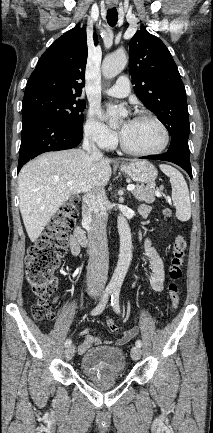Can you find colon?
Instances as JSON below:
<instances>
[{
	"label": "colon",
	"mask_w": 213,
	"mask_h": 433,
	"mask_svg": "<svg viewBox=\"0 0 213 433\" xmlns=\"http://www.w3.org/2000/svg\"><path fill=\"white\" fill-rule=\"evenodd\" d=\"M77 214L78 200L74 198L59 208L41 237L28 249L25 260L26 280L32 292L39 297L32 307L33 315L38 320L53 318L47 300L56 289L55 271L66 254L68 232L73 227ZM164 214L170 216L171 212L166 208ZM186 246L182 235L173 239L168 285V296L173 308H177L180 301L178 281L183 276ZM107 327L113 333L119 331L118 324L112 319L107 321Z\"/></svg>",
	"instance_id": "obj_1"
}]
</instances>
